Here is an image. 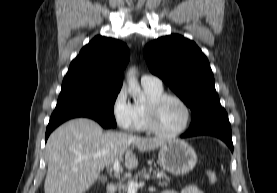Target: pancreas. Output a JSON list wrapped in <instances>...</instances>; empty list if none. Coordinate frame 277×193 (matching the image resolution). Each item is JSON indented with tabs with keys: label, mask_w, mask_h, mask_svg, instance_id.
Masks as SVG:
<instances>
[{
	"label": "pancreas",
	"mask_w": 277,
	"mask_h": 193,
	"mask_svg": "<svg viewBox=\"0 0 277 193\" xmlns=\"http://www.w3.org/2000/svg\"><path fill=\"white\" fill-rule=\"evenodd\" d=\"M151 172H153V174L156 175V176H153L152 178L157 179L159 181L160 186H167L168 185L169 177L165 174V172L164 171H159L158 169L157 170H152L151 168L149 170H147L146 168H143L142 170L138 171L134 175V177L129 180V182L137 181L138 179L149 177ZM129 182H128V184H129ZM128 184L120 182L119 185H118L119 193H126L127 190H128Z\"/></svg>",
	"instance_id": "pancreas-1"
}]
</instances>
